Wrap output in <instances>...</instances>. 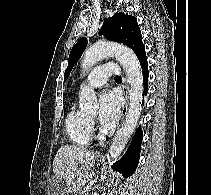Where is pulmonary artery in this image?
<instances>
[{
	"label": "pulmonary artery",
	"instance_id": "1",
	"mask_svg": "<svg viewBox=\"0 0 211 195\" xmlns=\"http://www.w3.org/2000/svg\"><path fill=\"white\" fill-rule=\"evenodd\" d=\"M118 74L119 68L114 63H107L93 69L87 76L84 84L91 88H97L106 83L112 74Z\"/></svg>",
	"mask_w": 211,
	"mask_h": 195
}]
</instances>
